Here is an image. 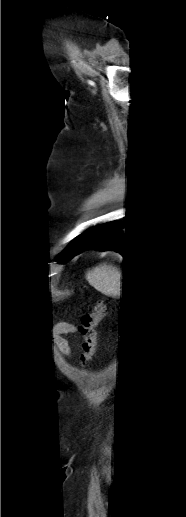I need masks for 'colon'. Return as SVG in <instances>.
Returning a JSON list of instances; mask_svg holds the SVG:
<instances>
[{
  "instance_id": "5ec220e1",
  "label": "colon",
  "mask_w": 186,
  "mask_h": 517,
  "mask_svg": "<svg viewBox=\"0 0 186 517\" xmlns=\"http://www.w3.org/2000/svg\"><path fill=\"white\" fill-rule=\"evenodd\" d=\"M106 305L98 301L91 311L86 312L81 317L79 331L83 337L82 352L80 355V365L86 366L96 352L97 330L99 324L106 316Z\"/></svg>"
}]
</instances>
